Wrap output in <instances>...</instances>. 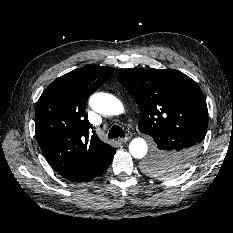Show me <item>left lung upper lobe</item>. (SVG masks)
Instances as JSON below:
<instances>
[{
  "mask_svg": "<svg viewBox=\"0 0 233 233\" xmlns=\"http://www.w3.org/2000/svg\"><path fill=\"white\" fill-rule=\"evenodd\" d=\"M117 79L141 110V132L150 136L158 131L187 134L195 139L198 153L206 135L208 110L194 80L174 69H130ZM143 167L155 176L184 172L159 151H153Z\"/></svg>",
  "mask_w": 233,
  "mask_h": 233,
  "instance_id": "left-lung-upper-lobe-1",
  "label": "left lung upper lobe"
}]
</instances>
